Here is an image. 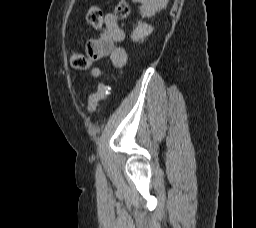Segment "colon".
Instances as JSON below:
<instances>
[{"mask_svg": "<svg viewBox=\"0 0 256 228\" xmlns=\"http://www.w3.org/2000/svg\"><path fill=\"white\" fill-rule=\"evenodd\" d=\"M130 13V6L126 0H120L115 7V15L119 19H125ZM88 23L95 28L100 30L103 25V15L101 9L93 5L87 12ZM71 65L77 69H87L91 63L92 58L85 54L74 53L70 59ZM109 95V87L106 83L100 82L97 87V91L90 95L88 101V111L94 113L101 101L106 99Z\"/></svg>", "mask_w": 256, "mask_h": 228, "instance_id": "1", "label": "colon"}]
</instances>
